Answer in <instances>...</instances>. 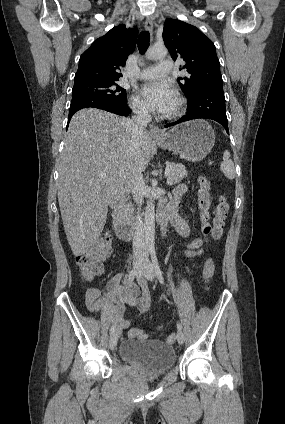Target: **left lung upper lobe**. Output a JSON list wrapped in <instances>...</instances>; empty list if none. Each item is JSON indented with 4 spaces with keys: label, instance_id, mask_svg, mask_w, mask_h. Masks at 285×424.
I'll list each match as a JSON object with an SVG mask.
<instances>
[{
    "label": "left lung upper lobe",
    "instance_id": "obj_1",
    "mask_svg": "<svg viewBox=\"0 0 285 424\" xmlns=\"http://www.w3.org/2000/svg\"><path fill=\"white\" fill-rule=\"evenodd\" d=\"M163 39L174 61L183 59L186 62L183 68L188 75L179 77L178 83L188 99L204 88L223 87L215 46L198 28L183 21L167 19Z\"/></svg>",
    "mask_w": 285,
    "mask_h": 424
}]
</instances>
